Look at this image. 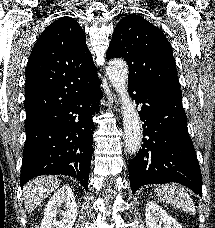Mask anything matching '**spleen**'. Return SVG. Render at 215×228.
Listing matches in <instances>:
<instances>
[{
	"instance_id": "3e777b00",
	"label": "spleen",
	"mask_w": 215,
	"mask_h": 228,
	"mask_svg": "<svg viewBox=\"0 0 215 228\" xmlns=\"http://www.w3.org/2000/svg\"><path fill=\"white\" fill-rule=\"evenodd\" d=\"M155 192L160 202L176 206V208H180L182 212H186V214H190V216L196 214L194 204L189 194H187L185 188H181L179 184H164V186H158Z\"/></svg>"
}]
</instances>
